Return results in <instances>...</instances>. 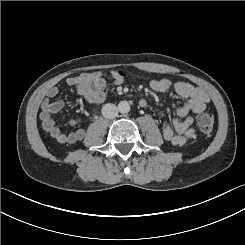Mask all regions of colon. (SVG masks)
Listing matches in <instances>:
<instances>
[{"instance_id":"colon-1","label":"colon","mask_w":245,"mask_h":245,"mask_svg":"<svg viewBox=\"0 0 245 245\" xmlns=\"http://www.w3.org/2000/svg\"><path fill=\"white\" fill-rule=\"evenodd\" d=\"M118 73L123 77L126 76V74L122 71H118ZM214 122H215L214 115L210 112H204L200 114L197 118L198 128L204 134H209L212 132L214 127Z\"/></svg>"}]
</instances>
